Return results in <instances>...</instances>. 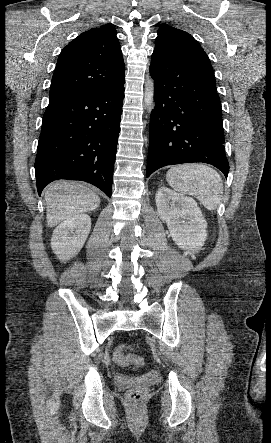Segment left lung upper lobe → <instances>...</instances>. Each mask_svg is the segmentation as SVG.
<instances>
[{
	"mask_svg": "<svg viewBox=\"0 0 271 443\" xmlns=\"http://www.w3.org/2000/svg\"><path fill=\"white\" fill-rule=\"evenodd\" d=\"M154 51L210 63L200 44L187 32L162 25L158 30Z\"/></svg>",
	"mask_w": 271,
	"mask_h": 443,
	"instance_id": "left-lung-upper-lobe-1",
	"label": "left lung upper lobe"
}]
</instances>
